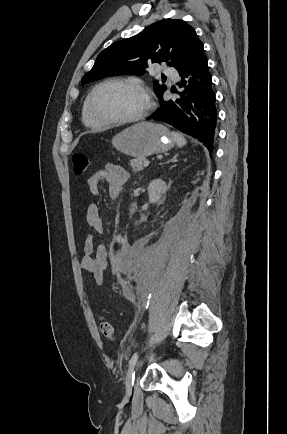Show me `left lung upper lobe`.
<instances>
[{
  "mask_svg": "<svg viewBox=\"0 0 287 434\" xmlns=\"http://www.w3.org/2000/svg\"><path fill=\"white\" fill-rule=\"evenodd\" d=\"M204 53L194 29L180 19H163L143 32L103 50L82 82L121 74H143L151 63L166 62L177 70ZM159 98L167 87L154 82Z\"/></svg>",
  "mask_w": 287,
  "mask_h": 434,
  "instance_id": "obj_1",
  "label": "left lung upper lobe"
}]
</instances>
